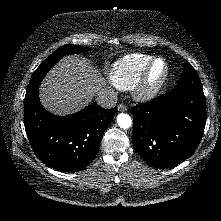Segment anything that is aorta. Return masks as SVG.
<instances>
[{
  "mask_svg": "<svg viewBox=\"0 0 221 221\" xmlns=\"http://www.w3.org/2000/svg\"><path fill=\"white\" fill-rule=\"evenodd\" d=\"M117 124L122 129H128L132 126V119L126 113H120L117 115Z\"/></svg>",
  "mask_w": 221,
  "mask_h": 221,
  "instance_id": "762f6f07",
  "label": "aorta"
}]
</instances>
